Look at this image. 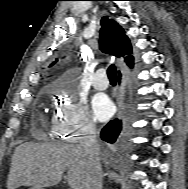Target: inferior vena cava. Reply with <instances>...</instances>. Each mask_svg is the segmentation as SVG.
<instances>
[{"mask_svg": "<svg viewBox=\"0 0 188 189\" xmlns=\"http://www.w3.org/2000/svg\"><path fill=\"white\" fill-rule=\"evenodd\" d=\"M97 130L93 122L87 123L81 130L78 149L83 152L90 163V174L85 189H102V168L100 147L97 141Z\"/></svg>", "mask_w": 188, "mask_h": 189, "instance_id": "602c4592", "label": "inferior vena cava"}]
</instances>
